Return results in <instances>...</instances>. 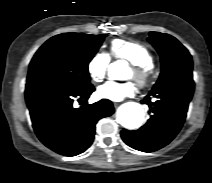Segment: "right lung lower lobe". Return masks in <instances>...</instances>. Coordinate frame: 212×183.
<instances>
[{
    "label": "right lung lower lobe",
    "mask_w": 212,
    "mask_h": 183,
    "mask_svg": "<svg viewBox=\"0 0 212 183\" xmlns=\"http://www.w3.org/2000/svg\"><path fill=\"white\" fill-rule=\"evenodd\" d=\"M94 90L92 84L83 87L26 84L25 97L32 125L44 145L65 156L78 155L90 147L97 121L114 112L112 102L107 99L74 107L75 99L82 103Z\"/></svg>",
    "instance_id": "98d812e1"
}]
</instances>
